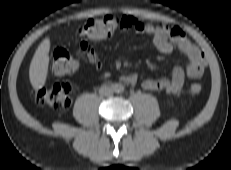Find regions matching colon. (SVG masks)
Instances as JSON below:
<instances>
[{"mask_svg": "<svg viewBox=\"0 0 231 170\" xmlns=\"http://www.w3.org/2000/svg\"><path fill=\"white\" fill-rule=\"evenodd\" d=\"M121 18L113 15H105L100 18H91L79 29V35L87 40H100L110 37L119 27ZM78 68L77 60L68 50L58 47L54 50L51 70L56 76H64L73 73ZM73 88L68 83H56L52 86L34 90L33 100L54 109H66L71 105ZM202 85L199 82L192 83L188 92L191 95L201 93Z\"/></svg>", "mask_w": 231, "mask_h": 170, "instance_id": "5ec220e1", "label": "colon"}]
</instances>
